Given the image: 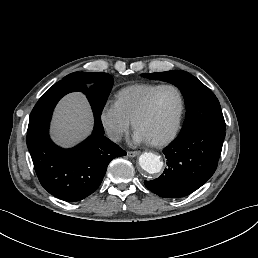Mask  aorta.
<instances>
[{
	"mask_svg": "<svg viewBox=\"0 0 258 258\" xmlns=\"http://www.w3.org/2000/svg\"><path fill=\"white\" fill-rule=\"evenodd\" d=\"M139 165L145 172L155 174L161 171L163 162L160 156L151 152H145L139 157Z\"/></svg>",
	"mask_w": 258,
	"mask_h": 258,
	"instance_id": "1",
	"label": "aorta"
}]
</instances>
